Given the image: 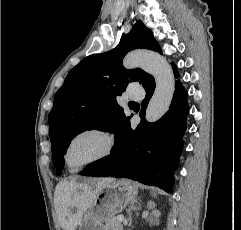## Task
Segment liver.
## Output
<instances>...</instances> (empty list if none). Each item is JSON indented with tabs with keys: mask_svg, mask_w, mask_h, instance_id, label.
I'll use <instances>...</instances> for the list:
<instances>
[{
	"mask_svg": "<svg viewBox=\"0 0 241 230\" xmlns=\"http://www.w3.org/2000/svg\"><path fill=\"white\" fill-rule=\"evenodd\" d=\"M112 181L113 178L95 180L90 184L59 182L54 200L62 228L76 230L85 212L94 204L101 186ZM72 208L76 209L74 213Z\"/></svg>",
	"mask_w": 241,
	"mask_h": 230,
	"instance_id": "6515ba94",
	"label": "liver"
}]
</instances>
